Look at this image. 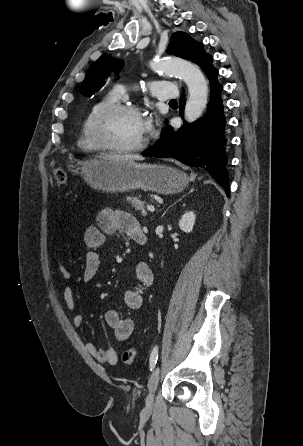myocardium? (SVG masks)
Returning <instances> with one entry per match:
<instances>
[{"instance_id": "obj_1", "label": "myocardium", "mask_w": 303, "mask_h": 446, "mask_svg": "<svg viewBox=\"0 0 303 446\" xmlns=\"http://www.w3.org/2000/svg\"><path fill=\"white\" fill-rule=\"evenodd\" d=\"M135 113L141 115L139 107L132 104L112 103L101 108L94 116L91 123V136L94 142L103 150L114 153H132L145 148L148 138L145 137L140 142L130 146H117L110 143L105 136V124L107 120L116 114Z\"/></svg>"}]
</instances>
